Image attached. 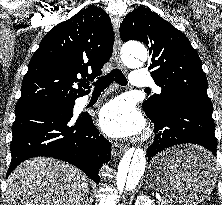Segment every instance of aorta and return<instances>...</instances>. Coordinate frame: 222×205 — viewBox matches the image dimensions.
Segmentation results:
<instances>
[{
  "mask_svg": "<svg viewBox=\"0 0 222 205\" xmlns=\"http://www.w3.org/2000/svg\"><path fill=\"white\" fill-rule=\"evenodd\" d=\"M147 50L137 42L127 43L123 48V61L130 67H139L147 59ZM146 168V153L141 147L125 152L118 165L114 189L117 196L135 190Z\"/></svg>",
  "mask_w": 222,
  "mask_h": 205,
  "instance_id": "1",
  "label": "aorta"
}]
</instances>
